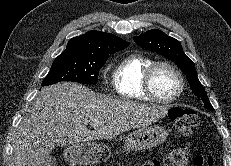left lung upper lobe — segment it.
Returning a JSON list of instances; mask_svg holds the SVG:
<instances>
[{"mask_svg": "<svg viewBox=\"0 0 231 166\" xmlns=\"http://www.w3.org/2000/svg\"><path fill=\"white\" fill-rule=\"evenodd\" d=\"M134 41L141 48L156 52L174 61L177 66L185 72L193 93L204 102L208 110H214L203 85L197 77L194 63L185 55L178 40L166 35L160 30L153 29L135 37Z\"/></svg>", "mask_w": 231, "mask_h": 166, "instance_id": "left-lung-upper-lobe-1", "label": "left lung upper lobe"}]
</instances>
